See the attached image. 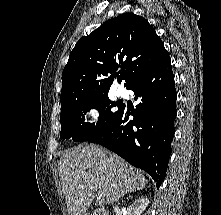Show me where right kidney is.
Listing matches in <instances>:
<instances>
[{
	"instance_id": "right-kidney-1",
	"label": "right kidney",
	"mask_w": 221,
	"mask_h": 215,
	"mask_svg": "<svg viewBox=\"0 0 221 215\" xmlns=\"http://www.w3.org/2000/svg\"><path fill=\"white\" fill-rule=\"evenodd\" d=\"M149 204L148 198H139L128 208V215H141Z\"/></svg>"
}]
</instances>
